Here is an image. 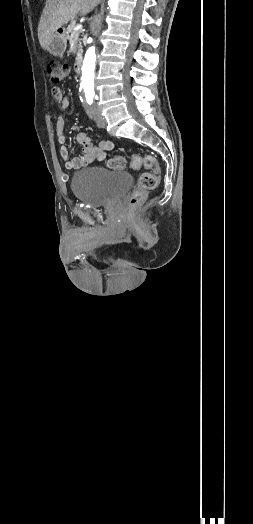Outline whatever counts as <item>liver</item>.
<instances>
[{"label": "liver", "mask_w": 253, "mask_h": 524, "mask_svg": "<svg viewBox=\"0 0 253 524\" xmlns=\"http://www.w3.org/2000/svg\"><path fill=\"white\" fill-rule=\"evenodd\" d=\"M101 0H46L38 24V39L41 47L47 50L57 29L74 19L77 14L87 15Z\"/></svg>", "instance_id": "1"}]
</instances>
